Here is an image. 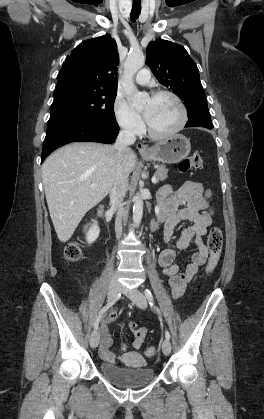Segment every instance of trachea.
<instances>
[{
  "mask_svg": "<svg viewBox=\"0 0 264 419\" xmlns=\"http://www.w3.org/2000/svg\"><path fill=\"white\" fill-rule=\"evenodd\" d=\"M140 12H141V4H133L132 10L130 13V17L133 22H135L138 19Z\"/></svg>",
  "mask_w": 264,
  "mask_h": 419,
  "instance_id": "trachea-1",
  "label": "trachea"
}]
</instances>
